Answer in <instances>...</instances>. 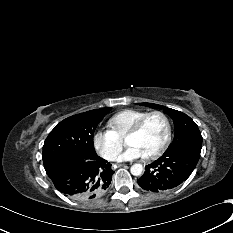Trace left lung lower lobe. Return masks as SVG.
I'll list each match as a JSON object with an SVG mask.
<instances>
[{"label":"left lung lower lobe","instance_id":"0a47b994","mask_svg":"<svg viewBox=\"0 0 233 233\" xmlns=\"http://www.w3.org/2000/svg\"><path fill=\"white\" fill-rule=\"evenodd\" d=\"M200 152L188 149H173L153 163L145 166V172L137 180L147 191L161 192L173 189L186 181L195 169Z\"/></svg>","mask_w":233,"mask_h":233}]
</instances>
